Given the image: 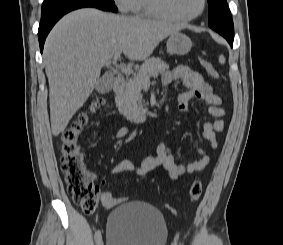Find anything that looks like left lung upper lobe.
<instances>
[{
    "instance_id": "1",
    "label": "left lung upper lobe",
    "mask_w": 283,
    "mask_h": 245,
    "mask_svg": "<svg viewBox=\"0 0 283 245\" xmlns=\"http://www.w3.org/2000/svg\"><path fill=\"white\" fill-rule=\"evenodd\" d=\"M209 26L222 36L234 37L233 21L226 0H208Z\"/></svg>"
}]
</instances>
